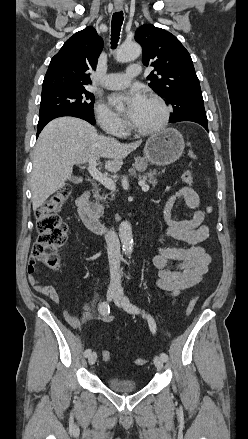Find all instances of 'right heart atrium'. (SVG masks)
Listing matches in <instances>:
<instances>
[{
    "mask_svg": "<svg viewBox=\"0 0 248 439\" xmlns=\"http://www.w3.org/2000/svg\"><path fill=\"white\" fill-rule=\"evenodd\" d=\"M95 116L101 129L110 135L122 136L127 130V122L103 103L96 106Z\"/></svg>",
    "mask_w": 248,
    "mask_h": 439,
    "instance_id": "1",
    "label": "right heart atrium"
}]
</instances>
